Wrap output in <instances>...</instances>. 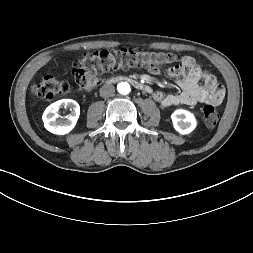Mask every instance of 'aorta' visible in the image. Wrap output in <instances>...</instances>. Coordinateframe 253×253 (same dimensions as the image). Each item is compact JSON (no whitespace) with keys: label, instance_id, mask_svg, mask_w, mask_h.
I'll return each mask as SVG.
<instances>
[{"label":"aorta","instance_id":"obj_1","mask_svg":"<svg viewBox=\"0 0 253 253\" xmlns=\"http://www.w3.org/2000/svg\"><path fill=\"white\" fill-rule=\"evenodd\" d=\"M117 90L120 94L126 95L131 91L130 85L127 82H121L117 85Z\"/></svg>","mask_w":253,"mask_h":253}]
</instances>
